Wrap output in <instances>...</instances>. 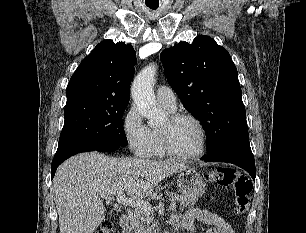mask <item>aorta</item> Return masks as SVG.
Here are the masks:
<instances>
[{
    "mask_svg": "<svg viewBox=\"0 0 306 233\" xmlns=\"http://www.w3.org/2000/svg\"><path fill=\"white\" fill-rule=\"evenodd\" d=\"M156 70L157 67L154 64L145 67L135 77L131 87V95L138 112L148 119L151 127L162 124L165 118L164 113L157 107L153 92Z\"/></svg>",
    "mask_w": 306,
    "mask_h": 233,
    "instance_id": "1",
    "label": "aorta"
}]
</instances>
